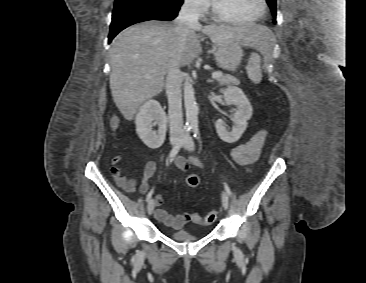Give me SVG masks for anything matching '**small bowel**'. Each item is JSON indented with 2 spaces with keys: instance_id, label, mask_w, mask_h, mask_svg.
<instances>
[{
  "instance_id": "1",
  "label": "small bowel",
  "mask_w": 366,
  "mask_h": 283,
  "mask_svg": "<svg viewBox=\"0 0 366 283\" xmlns=\"http://www.w3.org/2000/svg\"><path fill=\"white\" fill-rule=\"evenodd\" d=\"M265 136V131H257L248 141L232 148L229 154L231 161L240 166H250L255 163L259 158L262 146L265 141ZM120 161L121 156H115L112 159L113 166L110 169L111 175L114 178L116 184L122 190L129 194L133 193L136 189L137 181L134 178L122 174L121 169L119 168V166H117ZM174 162L180 170H186L189 164H194L198 166L202 165L200 159L195 156H190L188 158L178 156L175 158ZM156 168L157 166L154 161H148L145 164L143 169V179L139 187L142 193L147 192V190L149 189L148 180L154 176ZM162 204L163 197L157 196L155 198V205L159 207ZM155 217L158 221L173 229L181 228L187 220L185 214L172 215L163 208L156 209Z\"/></svg>"
}]
</instances>
